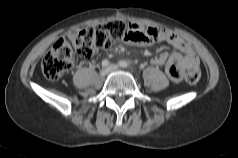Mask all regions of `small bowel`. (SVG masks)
Segmentation results:
<instances>
[{"label": "small bowel", "mask_w": 238, "mask_h": 158, "mask_svg": "<svg viewBox=\"0 0 238 158\" xmlns=\"http://www.w3.org/2000/svg\"><path fill=\"white\" fill-rule=\"evenodd\" d=\"M131 27V36L125 40L128 44L147 47L166 42L177 50L170 55L166 52L160 53L151 59L153 65H165L166 73L173 81H179L185 70L199 67V59L195 52L179 35L157 27H144L137 23H132Z\"/></svg>", "instance_id": "obj_1"}]
</instances>
